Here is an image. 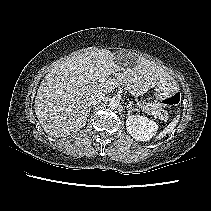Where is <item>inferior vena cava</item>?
I'll return each instance as SVG.
<instances>
[{
    "label": "inferior vena cava",
    "instance_id": "602c4592",
    "mask_svg": "<svg viewBox=\"0 0 211 211\" xmlns=\"http://www.w3.org/2000/svg\"><path fill=\"white\" fill-rule=\"evenodd\" d=\"M104 98H105V93L97 92L88 98V105L89 106L96 105L100 103Z\"/></svg>",
    "mask_w": 211,
    "mask_h": 211
}]
</instances>
